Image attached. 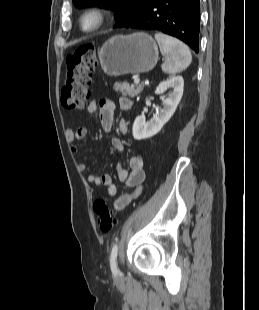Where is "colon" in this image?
<instances>
[{"instance_id":"5ec220e1","label":"colon","mask_w":259,"mask_h":310,"mask_svg":"<svg viewBox=\"0 0 259 310\" xmlns=\"http://www.w3.org/2000/svg\"><path fill=\"white\" fill-rule=\"evenodd\" d=\"M97 66L96 47L92 44L81 45L66 57V81L62 90V103L71 109H82L90 98L89 86ZM98 227L102 232H109L117 224V219L106 200L94 202Z\"/></svg>"}]
</instances>
